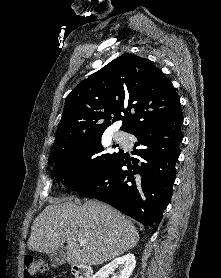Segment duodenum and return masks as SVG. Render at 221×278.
Here are the masks:
<instances>
[{
    "label": "duodenum",
    "mask_w": 221,
    "mask_h": 278,
    "mask_svg": "<svg viewBox=\"0 0 221 278\" xmlns=\"http://www.w3.org/2000/svg\"><path fill=\"white\" fill-rule=\"evenodd\" d=\"M72 273L75 278H93L91 268L84 264H75L72 267Z\"/></svg>",
    "instance_id": "410a0bca"
}]
</instances>
